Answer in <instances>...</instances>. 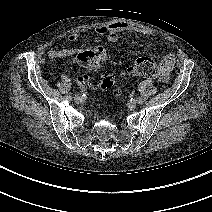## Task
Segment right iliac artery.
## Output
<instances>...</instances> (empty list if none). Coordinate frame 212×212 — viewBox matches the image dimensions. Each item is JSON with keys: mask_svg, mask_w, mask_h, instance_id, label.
Here are the masks:
<instances>
[{"mask_svg": "<svg viewBox=\"0 0 212 212\" xmlns=\"http://www.w3.org/2000/svg\"><path fill=\"white\" fill-rule=\"evenodd\" d=\"M65 98H66L67 100H71V99H72V96H71V95H66Z\"/></svg>", "mask_w": 212, "mask_h": 212, "instance_id": "obj_1", "label": "right iliac artery"}]
</instances>
